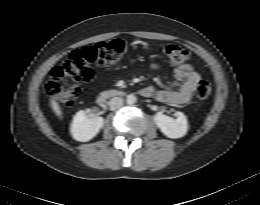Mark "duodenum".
Wrapping results in <instances>:
<instances>
[{"mask_svg":"<svg viewBox=\"0 0 260 205\" xmlns=\"http://www.w3.org/2000/svg\"><path fill=\"white\" fill-rule=\"evenodd\" d=\"M122 92L120 91H116V90H110V91H105L102 94H100L99 98L100 100H105L107 98H111V97H118L121 96Z\"/></svg>","mask_w":260,"mask_h":205,"instance_id":"duodenum-1","label":"duodenum"}]
</instances>
